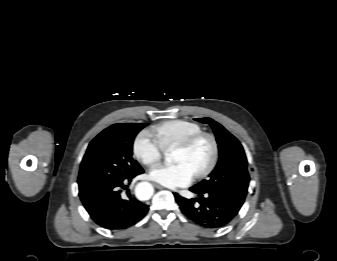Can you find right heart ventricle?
<instances>
[{
    "mask_svg": "<svg viewBox=\"0 0 337 261\" xmlns=\"http://www.w3.org/2000/svg\"><path fill=\"white\" fill-rule=\"evenodd\" d=\"M152 131L164 150L169 151L190 136L202 132V127L187 120H169L154 126Z\"/></svg>",
    "mask_w": 337,
    "mask_h": 261,
    "instance_id": "right-heart-ventricle-1",
    "label": "right heart ventricle"
}]
</instances>
